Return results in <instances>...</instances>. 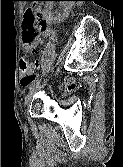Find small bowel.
Returning a JSON list of instances; mask_svg holds the SVG:
<instances>
[{"label": "small bowel", "instance_id": "1", "mask_svg": "<svg viewBox=\"0 0 123 167\" xmlns=\"http://www.w3.org/2000/svg\"><path fill=\"white\" fill-rule=\"evenodd\" d=\"M43 38L53 39L52 33L48 28H46ZM40 42L42 43L43 39ZM37 67H38L37 65H28V66L22 67L20 83L23 88H26L29 85L31 86L35 82L37 77L35 73V69Z\"/></svg>", "mask_w": 123, "mask_h": 167}]
</instances>
